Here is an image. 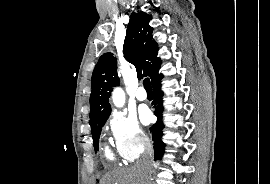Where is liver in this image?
<instances>
[{"label":"liver","instance_id":"obj_1","mask_svg":"<svg viewBox=\"0 0 270 184\" xmlns=\"http://www.w3.org/2000/svg\"><path fill=\"white\" fill-rule=\"evenodd\" d=\"M146 171L138 168H122L106 173L100 184H143Z\"/></svg>","mask_w":270,"mask_h":184}]
</instances>
